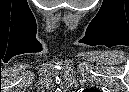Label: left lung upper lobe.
<instances>
[{
    "label": "left lung upper lobe",
    "instance_id": "obj_1",
    "mask_svg": "<svg viewBox=\"0 0 129 92\" xmlns=\"http://www.w3.org/2000/svg\"><path fill=\"white\" fill-rule=\"evenodd\" d=\"M86 91H90V92H97L98 90H93V89H89V90H86Z\"/></svg>",
    "mask_w": 129,
    "mask_h": 92
}]
</instances>
